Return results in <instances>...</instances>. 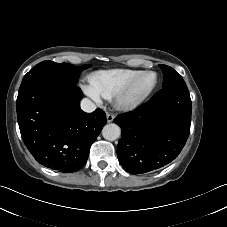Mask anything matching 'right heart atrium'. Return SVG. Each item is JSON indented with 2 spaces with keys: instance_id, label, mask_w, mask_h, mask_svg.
I'll use <instances>...</instances> for the list:
<instances>
[{
  "instance_id": "d8ad5b80",
  "label": "right heart atrium",
  "mask_w": 227,
  "mask_h": 227,
  "mask_svg": "<svg viewBox=\"0 0 227 227\" xmlns=\"http://www.w3.org/2000/svg\"><path fill=\"white\" fill-rule=\"evenodd\" d=\"M86 92L94 100L100 101L101 96L92 87H87Z\"/></svg>"
}]
</instances>
